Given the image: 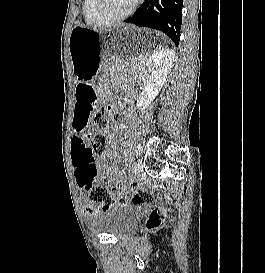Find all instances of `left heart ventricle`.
<instances>
[{"mask_svg": "<svg viewBox=\"0 0 265 273\" xmlns=\"http://www.w3.org/2000/svg\"><path fill=\"white\" fill-rule=\"evenodd\" d=\"M135 0H106L105 8L109 14L118 15L131 8Z\"/></svg>", "mask_w": 265, "mask_h": 273, "instance_id": "obj_1", "label": "left heart ventricle"}]
</instances>
